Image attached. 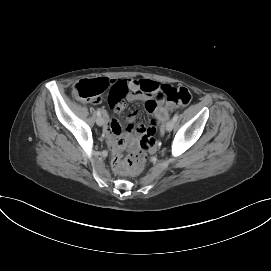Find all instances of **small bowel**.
Here are the masks:
<instances>
[{
    "label": "small bowel",
    "instance_id": "small-bowel-1",
    "mask_svg": "<svg viewBox=\"0 0 271 271\" xmlns=\"http://www.w3.org/2000/svg\"><path fill=\"white\" fill-rule=\"evenodd\" d=\"M166 84H160L156 81L144 79V80H111V83L107 86V93L110 95V103L114 114L121 113L125 108V99L128 101H142L145 103V108L149 113L155 116V121L158 127L159 122L164 121L168 116V109L172 106L170 103H165L164 99H154L153 96L158 95ZM146 87V88H145ZM124 95H126L124 97ZM107 117V113L104 112ZM136 114L131 113L127 117V133L123 136L121 132V126L119 122L110 118L107 119L104 128V133L110 145L118 147L124 145L128 141H132V132L134 130L133 122ZM151 121V122H152ZM143 124L137 126L135 132L138 136L146 134L148 129Z\"/></svg>",
    "mask_w": 271,
    "mask_h": 271
}]
</instances>
